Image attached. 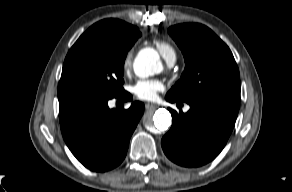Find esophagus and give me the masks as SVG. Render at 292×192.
I'll list each match as a JSON object with an SVG mask.
<instances>
[{"label": "esophagus", "mask_w": 292, "mask_h": 192, "mask_svg": "<svg viewBox=\"0 0 292 192\" xmlns=\"http://www.w3.org/2000/svg\"><path fill=\"white\" fill-rule=\"evenodd\" d=\"M158 106L156 105V104H153V103H146L145 104V108L147 109V110H150V109H155V108H157Z\"/></svg>", "instance_id": "34e87169"}]
</instances>
